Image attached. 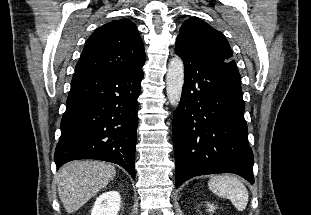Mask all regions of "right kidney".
<instances>
[{
    "instance_id": "1",
    "label": "right kidney",
    "mask_w": 311,
    "mask_h": 215,
    "mask_svg": "<svg viewBox=\"0 0 311 215\" xmlns=\"http://www.w3.org/2000/svg\"><path fill=\"white\" fill-rule=\"evenodd\" d=\"M120 203L121 197L117 191L105 192L96 199L91 215H117Z\"/></svg>"
}]
</instances>
